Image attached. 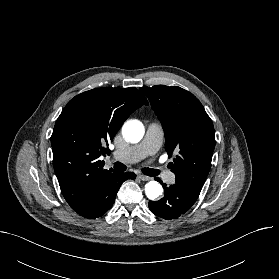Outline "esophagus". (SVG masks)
I'll use <instances>...</instances> for the list:
<instances>
[{"label": "esophagus", "instance_id": "obj_1", "mask_svg": "<svg viewBox=\"0 0 279 279\" xmlns=\"http://www.w3.org/2000/svg\"><path fill=\"white\" fill-rule=\"evenodd\" d=\"M138 178L142 181H149L152 179L151 177L146 176V175H138Z\"/></svg>", "mask_w": 279, "mask_h": 279}]
</instances>
